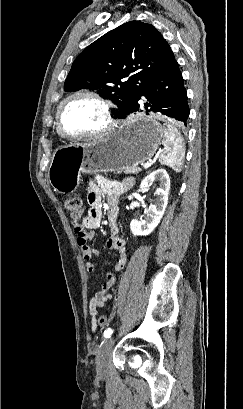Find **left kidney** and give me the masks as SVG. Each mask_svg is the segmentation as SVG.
<instances>
[{
  "label": "left kidney",
  "instance_id": "obj_1",
  "mask_svg": "<svg viewBox=\"0 0 243 409\" xmlns=\"http://www.w3.org/2000/svg\"><path fill=\"white\" fill-rule=\"evenodd\" d=\"M154 182H158V188L155 192L156 200L145 211L146 216L143 220L133 219L130 223V229L135 236L149 235L160 223L161 218L168 204V194L170 190V177L166 170L158 169L147 175L140 184L141 190H147Z\"/></svg>",
  "mask_w": 243,
  "mask_h": 409
}]
</instances>
